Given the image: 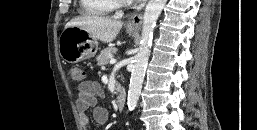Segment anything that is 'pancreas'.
I'll use <instances>...</instances> for the list:
<instances>
[{
	"instance_id": "1",
	"label": "pancreas",
	"mask_w": 257,
	"mask_h": 130,
	"mask_svg": "<svg viewBox=\"0 0 257 130\" xmlns=\"http://www.w3.org/2000/svg\"><path fill=\"white\" fill-rule=\"evenodd\" d=\"M117 52V49L115 47H108L101 51V53L97 57V63L99 66L104 67L107 65L110 61V59L113 57V54Z\"/></svg>"
}]
</instances>
